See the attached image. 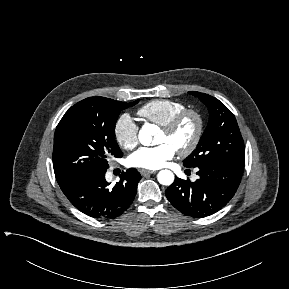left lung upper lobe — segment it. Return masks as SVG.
<instances>
[{"label": "left lung upper lobe", "instance_id": "5c2ea615", "mask_svg": "<svg viewBox=\"0 0 289 289\" xmlns=\"http://www.w3.org/2000/svg\"><path fill=\"white\" fill-rule=\"evenodd\" d=\"M209 110V123L196 149L183 161L186 167L204 163L230 161L244 165L245 148L242 135L233 113L218 99L191 91Z\"/></svg>", "mask_w": 289, "mask_h": 289}]
</instances>
